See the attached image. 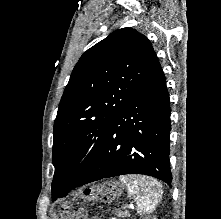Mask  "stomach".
<instances>
[{
	"label": "stomach",
	"mask_w": 221,
	"mask_h": 219,
	"mask_svg": "<svg viewBox=\"0 0 221 219\" xmlns=\"http://www.w3.org/2000/svg\"><path fill=\"white\" fill-rule=\"evenodd\" d=\"M112 189H114L113 193H120L121 192V189L118 187V184H116V183H114Z\"/></svg>",
	"instance_id": "stomach-1"
}]
</instances>
